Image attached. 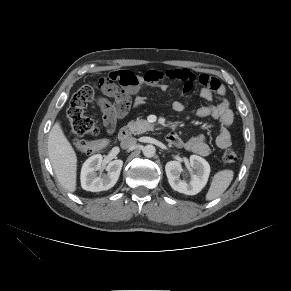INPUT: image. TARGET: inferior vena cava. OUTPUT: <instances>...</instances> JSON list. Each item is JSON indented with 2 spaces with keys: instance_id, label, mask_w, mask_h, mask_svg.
Returning <instances> with one entry per match:
<instances>
[{
  "instance_id": "inferior-vena-cava-1",
  "label": "inferior vena cava",
  "mask_w": 291,
  "mask_h": 291,
  "mask_svg": "<svg viewBox=\"0 0 291 291\" xmlns=\"http://www.w3.org/2000/svg\"><path fill=\"white\" fill-rule=\"evenodd\" d=\"M136 143H137L136 138H134V137H127V138H125V139H123L121 141V144L120 145H121V147L123 149H128V148H131V147L135 146Z\"/></svg>"
}]
</instances>
